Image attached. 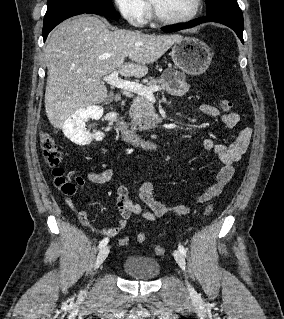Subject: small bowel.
I'll return each mask as SVG.
<instances>
[{
	"label": "small bowel",
	"mask_w": 284,
	"mask_h": 319,
	"mask_svg": "<svg viewBox=\"0 0 284 319\" xmlns=\"http://www.w3.org/2000/svg\"><path fill=\"white\" fill-rule=\"evenodd\" d=\"M200 110L210 117L220 116V111L211 104H202ZM221 120L227 128L233 129L239 124L240 117L237 113H225L221 115ZM251 135L252 130L245 127L237 133L234 141L229 145L218 144L211 139L203 141L204 149L215 154L221 163V168L217 174L216 181L205 191L195 196L196 203L209 201L222 193L223 188L228 184L234 174V164L238 162L246 152L251 140ZM110 177V170L102 172L91 171L87 173L88 180L93 183H104L108 181ZM138 192L142 203L147 209L130 199L128 189L125 186H119L117 188L116 206L120 214V219L116 226L112 228H95L91 224L87 212L83 209L76 210L78 219L82 225L91 230L103 236L112 237L125 229L127 221L132 215H137L146 221L153 222L167 214L180 216L190 211V208L184 205L169 207L163 204L155 188L150 183L140 185ZM66 202L71 208L75 209L71 198H66Z\"/></svg>",
	"instance_id": "small-bowel-1"
}]
</instances>
